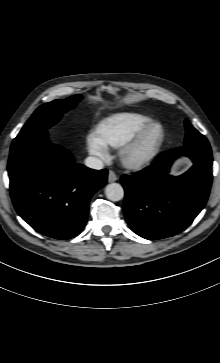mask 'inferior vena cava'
Here are the masks:
<instances>
[{"mask_svg":"<svg viewBox=\"0 0 220 363\" xmlns=\"http://www.w3.org/2000/svg\"><path fill=\"white\" fill-rule=\"evenodd\" d=\"M85 165L91 169L101 170L103 168V162L96 157H87L85 159Z\"/></svg>","mask_w":220,"mask_h":363,"instance_id":"inferior-vena-cava-1","label":"inferior vena cava"}]
</instances>
